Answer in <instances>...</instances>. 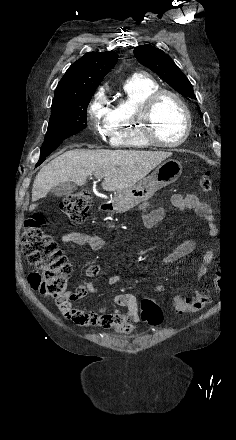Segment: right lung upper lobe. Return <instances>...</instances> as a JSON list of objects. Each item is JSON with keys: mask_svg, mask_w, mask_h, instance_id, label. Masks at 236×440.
Wrapping results in <instances>:
<instances>
[{"mask_svg": "<svg viewBox=\"0 0 236 440\" xmlns=\"http://www.w3.org/2000/svg\"><path fill=\"white\" fill-rule=\"evenodd\" d=\"M117 60L118 55L114 52L86 53L69 67L60 80L52 104L94 93Z\"/></svg>", "mask_w": 236, "mask_h": 440, "instance_id": "obj_1", "label": "right lung upper lobe"}]
</instances>
